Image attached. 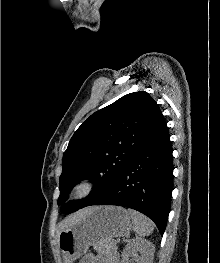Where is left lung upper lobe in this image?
I'll list each match as a JSON object with an SVG mask.
<instances>
[{
    "instance_id": "left-lung-upper-lobe-1",
    "label": "left lung upper lobe",
    "mask_w": 220,
    "mask_h": 263,
    "mask_svg": "<svg viewBox=\"0 0 220 263\" xmlns=\"http://www.w3.org/2000/svg\"><path fill=\"white\" fill-rule=\"evenodd\" d=\"M165 122L158 104L144 92L127 94L93 113L74 133L62 159L60 196L62 204L72 187L92 179L93 191L71 202L73 212L88 206L114 182L136 150ZM65 208L61 207V211Z\"/></svg>"
}]
</instances>
